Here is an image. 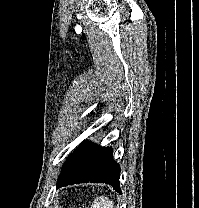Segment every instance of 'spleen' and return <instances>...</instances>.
<instances>
[{
    "instance_id": "spleen-1",
    "label": "spleen",
    "mask_w": 199,
    "mask_h": 208,
    "mask_svg": "<svg viewBox=\"0 0 199 208\" xmlns=\"http://www.w3.org/2000/svg\"><path fill=\"white\" fill-rule=\"evenodd\" d=\"M113 207H114V202L105 196H100L99 198H96L91 205V208H113Z\"/></svg>"
}]
</instances>
